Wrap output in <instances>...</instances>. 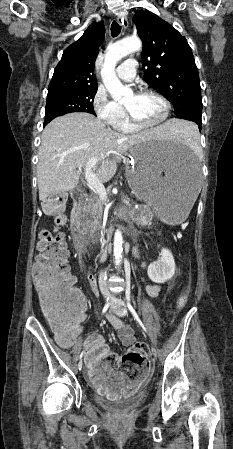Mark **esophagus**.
I'll list each match as a JSON object with an SVG mask.
<instances>
[{"instance_id": "obj_1", "label": "esophagus", "mask_w": 233, "mask_h": 449, "mask_svg": "<svg viewBox=\"0 0 233 449\" xmlns=\"http://www.w3.org/2000/svg\"><path fill=\"white\" fill-rule=\"evenodd\" d=\"M117 22L119 25L123 26L124 29H127L129 24H128V20L126 17L118 15L116 18Z\"/></svg>"}]
</instances>
